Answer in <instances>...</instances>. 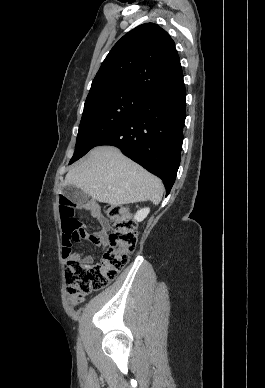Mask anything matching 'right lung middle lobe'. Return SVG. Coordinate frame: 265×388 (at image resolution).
I'll return each instance as SVG.
<instances>
[{"label":"right lung middle lobe","mask_w":265,"mask_h":388,"mask_svg":"<svg viewBox=\"0 0 265 388\" xmlns=\"http://www.w3.org/2000/svg\"><path fill=\"white\" fill-rule=\"evenodd\" d=\"M144 96L102 90L87 96L79 125L75 152L70 163L84 156L90 149L118 125L131 116Z\"/></svg>","instance_id":"obj_1"}]
</instances>
